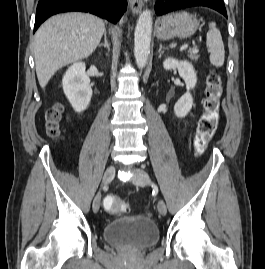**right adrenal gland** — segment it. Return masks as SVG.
Instances as JSON below:
<instances>
[{
    "mask_svg": "<svg viewBox=\"0 0 265 269\" xmlns=\"http://www.w3.org/2000/svg\"><path fill=\"white\" fill-rule=\"evenodd\" d=\"M99 47L107 48L110 51V44L107 39V31H104V43H100Z\"/></svg>",
    "mask_w": 265,
    "mask_h": 269,
    "instance_id": "2a0ac1e0",
    "label": "right adrenal gland"
}]
</instances>
